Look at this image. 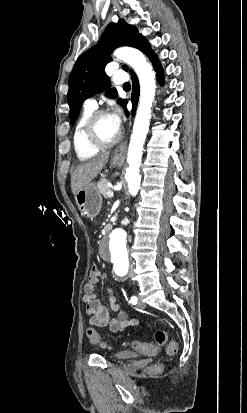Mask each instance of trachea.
Returning a JSON list of instances; mask_svg holds the SVG:
<instances>
[{"label":"trachea","mask_w":247,"mask_h":413,"mask_svg":"<svg viewBox=\"0 0 247 413\" xmlns=\"http://www.w3.org/2000/svg\"><path fill=\"white\" fill-rule=\"evenodd\" d=\"M123 88H124V90H130V88H131L130 83L129 82L124 83Z\"/></svg>","instance_id":"obj_1"}]
</instances>
